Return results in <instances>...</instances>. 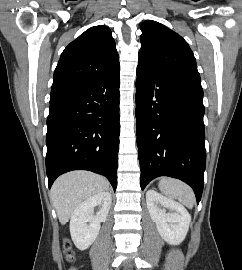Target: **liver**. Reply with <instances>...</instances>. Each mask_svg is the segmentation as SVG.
I'll return each mask as SVG.
<instances>
[{
  "instance_id": "liver-1",
  "label": "liver",
  "mask_w": 242,
  "mask_h": 270,
  "mask_svg": "<svg viewBox=\"0 0 242 270\" xmlns=\"http://www.w3.org/2000/svg\"><path fill=\"white\" fill-rule=\"evenodd\" d=\"M106 178L87 171H73L60 176L51 189V200L62 225L87 198L107 191Z\"/></svg>"
}]
</instances>
